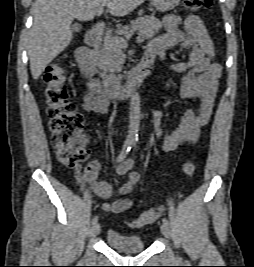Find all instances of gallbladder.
<instances>
[{
    "mask_svg": "<svg viewBox=\"0 0 254 267\" xmlns=\"http://www.w3.org/2000/svg\"><path fill=\"white\" fill-rule=\"evenodd\" d=\"M71 28L73 31H79L81 29V25L79 23H75Z\"/></svg>",
    "mask_w": 254,
    "mask_h": 267,
    "instance_id": "gallbladder-1",
    "label": "gallbladder"
}]
</instances>
